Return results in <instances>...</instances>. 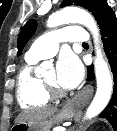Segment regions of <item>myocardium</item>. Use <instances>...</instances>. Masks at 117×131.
Instances as JSON below:
<instances>
[{
	"label": "myocardium",
	"instance_id": "f54148a6",
	"mask_svg": "<svg viewBox=\"0 0 117 131\" xmlns=\"http://www.w3.org/2000/svg\"><path fill=\"white\" fill-rule=\"evenodd\" d=\"M43 85L51 97L59 98L66 95V92L60 89L55 83L48 82L45 79H42Z\"/></svg>",
	"mask_w": 117,
	"mask_h": 131
}]
</instances>
